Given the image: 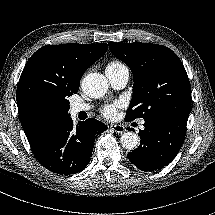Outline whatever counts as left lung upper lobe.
Wrapping results in <instances>:
<instances>
[{
    "label": "left lung upper lobe",
    "mask_w": 215,
    "mask_h": 215,
    "mask_svg": "<svg viewBox=\"0 0 215 215\" xmlns=\"http://www.w3.org/2000/svg\"><path fill=\"white\" fill-rule=\"evenodd\" d=\"M116 58L133 73V98L126 120L191 112V86L178 56L169 48L150 43L109 42Z\"/></svg>",
    "instance_id": "left-lung-upper-lobe-1"
}]
</instances>
